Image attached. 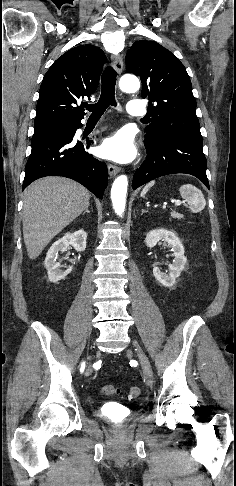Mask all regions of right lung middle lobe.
<instances>
[{
	"mask_svg": "<svg viewBox=\"0 0 236 486\" xmlns=\"http://www.w3.org/2000/svg\"><path fill=\"white\" fill-rule=\"evenodd\" d=\"M56 124L51 123V124H44V125H38L34 126V133H39V132H44L50 130L52 127H54Z\"/></svg>",
	"mask_w": 236,
	"mask_h": 486,
	"instance_id": "right-lung-middle-lobe-1",
	"label": "right lung middle lobe"
}]
</instances>
